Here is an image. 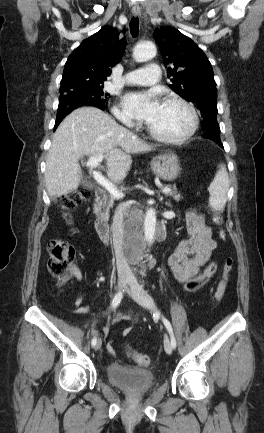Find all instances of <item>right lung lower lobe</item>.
I'll use <instances>...</instances> for the list:
<instances>
[{
    "label": "right lung lower lobe",
    "instance_id": "98d812e1",
    "mask_svg": "<svg viewBox=\"0 0 264 433\" xmlns=\"http://www.w3.org/2000/svg\"><path fill=\"white\" fill-rule=\"evenodd\" d=\"M87 106H94V107H98L96 105H87ZM100 108V107H99ZM104 109V108H101ZM64 118V117H63ZM63 118L57 119L55 122V127H54V131L56 130V128L58 127V125L60 124V122L63 120Z\"/></svg>",
    "mask_w": 264,
    "mask_h": 433
}]
</instances>
